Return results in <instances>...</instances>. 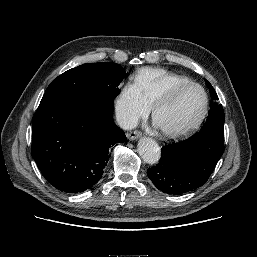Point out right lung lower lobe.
Masks as SVG:
<instances>
[{
	"label": "right lung lower lobe",
	"instance_id": "98d812e1",
	"mask_svg": "<svg viewBox=\"0 0 257 257\" xmlns=\"http://www.w3.org/2000/svg\"><path fill=\"white\" fill-rule=\"evenodd\" d=\"M113 106L88 96L40 103L32 120L31 154L55 188L78 193L99 181L112 147L126 140L113 122Z\"/></svg>",
	"mask_w": 257,
	"mask_h": 257
}]
</instances>
